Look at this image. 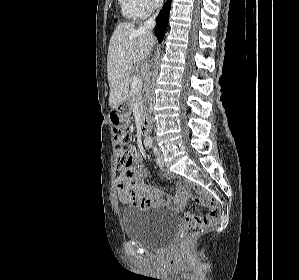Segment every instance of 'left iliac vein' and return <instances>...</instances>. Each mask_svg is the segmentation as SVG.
Here are the masks:
<instances>
[{"mask_svg": "<svg viewBox=\"0 0 299 280\" xmlns=\"http://www.w3.org/2000/svg\"><path fill=\"white\" fill-rule=\"evenodd\" d=\"M156 163L158 166L163 167L165 165L164 162V157L162 154H158L157 158H156Z\"/></svg>", "mask_w": 299, "mask_h": 280, "instance_id": "obj_1", "label": "left iliac vein"}]
</instances>
